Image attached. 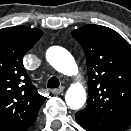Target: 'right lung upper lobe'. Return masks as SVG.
Wrapping results in <instances>:
<instances>
[{"label":"right lung upper lobe","instance_id":"right-lung-upper-lobe-1","mask_svg":"<svg viewBox=\"0 0 131 131\" xmlns=\"http://www.w3.org/2000/svg\"><path fill=\"white\" fill-rule=\"evenodd\" d=\"M37 28L0 29V130L21 127L35 118L46 97L30 81L22 58L41 38Z\"/></svg>","mask_w":131,"mask_h":131}]
</instances>
